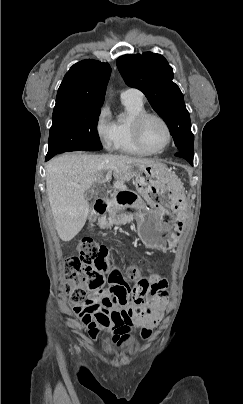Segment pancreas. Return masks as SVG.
<instances>
[{
  "label": "pancreas",
  "instance_id": "cf45deb5",
  "mask_svg": "<svg viewBox=\"0 0 243 404\" xmlns=\"http://www.w3.org/2000/svg\"><path fill=\"white\" fill-rule=\"evenodd\" d=\"M123 208H109L108 213L104 215V220H99L100 228H110L116 224L126 226L129 223H134L133 213H122Z\"/></svg>",
  "mask_w": 243,
  "mask_h": 404
}]
</instances>
